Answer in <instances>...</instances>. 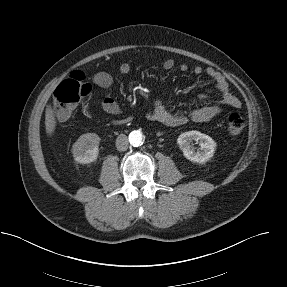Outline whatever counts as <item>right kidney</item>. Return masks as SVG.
Masks as SVG:
<instances>
[{
	"label": "right kidney",
	"mask_w": 287,
	"mask_h": 287,
	"mask_svg": "<svg viewBox=\"0 0 287 287\" xmlns=\"http://www.w3.org/2000/svg\"><path fill=\"white\" fill-rule=\"evenodd\" d=\"M100 137L95 133L81 135L72 146L74 160L81 164L95 161L99 153Z\"/></svg>",
	"instance_id": "obj_1"
}]
</instances>
